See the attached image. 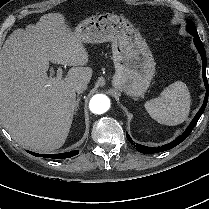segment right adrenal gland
<instances>
[{
	"mask_svg": "<svg viewBox=\"0 0 209 209\" xmlns=\"http://www.w3.org/2000/svg\"><path fill=\"white\" fill-rule=\"evenodd\" d=\"M81 97H78L76 100V105H75V114L77 113L78 109H79V103H80Z\"/></svg>",
	"mask_w": 209,
	"mask_h": 209,
	"instance_id": "obj_1",
	"label": "right adrenal gland"
}]
</instances>
